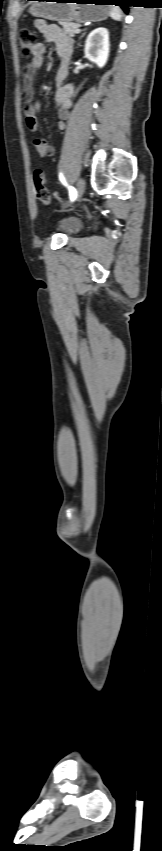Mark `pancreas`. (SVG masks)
Wrapping results in <instances>:
<instances>
[{"instance_id":"cf45deb5","label":"pancreas","mask_w":162,"mask_h":851,"mask_svg":"<svg viewBox=\"0 0 162 851\" xmlns=\"http://www.w3.org/2000/svg\"><path fill=\"white\" fill-rule=\"evenodd\" d=\"M60 25L63 26L64 33L71 37H73L77 33V30L80 27L78 23L72 22H62L60 23Z\"/></svg>"}]
</instances>
